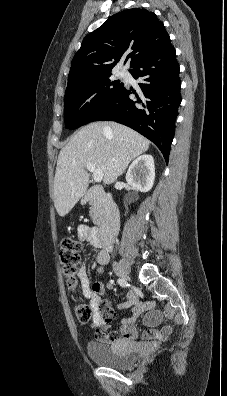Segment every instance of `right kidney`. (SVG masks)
I'll list each match as a JSON object with an SVG mask.
<instances>
[{"label":"right kidney","mask_w":227,"mask_h":396,"mask_svg":"<svg viewBox=\"0 0 227 396\" xmlns=\"http://www.w3.org/2000/svg\"><path fill=\"white\" fill-rule=\"evenodd\" d=\"M155 180L154 159L151 155L144 154L136 158L129 166L126 173L127 183L140 192H148L153 187Z\"/></svg>","instance_id":"1"}]
</instances>
